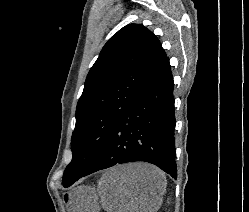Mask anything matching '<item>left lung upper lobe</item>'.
<instances>
[{"label":"left lung upper lobe","mask_w":249,"mask_h":212,"mask_svg":"<svg viewBox=\"0 0 249 212\" xmlns=\"http://www.w3.org/2000/svg\"><path fill=\"white\" fill-rule=\"evenodd\" d=\"M166 58L156 36L139 24L125 26L104 45L78 101L64 187L89 170L121 115Z\"/></svg>","instance_id":"obj_1"}]
</instances>
